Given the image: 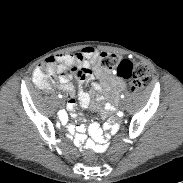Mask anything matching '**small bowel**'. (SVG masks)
Here are the masks:
<instances>
[{"instance_id": "c3829d8e", "label": "small bowel", "mask_w": 183, "mask_h": 183, "mask_svg": "<svg viewBox=\"0 0 183 183\" xmlns=\"http://www.w3.org/2000/svg\"><path fill=\"white\" fill-rule=\"evenodd\" d=\"M98 60V51L93 47H85L77 54H58L51 56L44 64L50 66L53 72L58 73L60 82L59 88L71 96V99L66 106L71 115L66 110H60L57 113V118L64 127H67L66 133L69 136H74L76 134V144L82 145L86 140L85 121L81 120L77 127L71 125L73 118L76 117L75 111L78 108L85 109L92 107L102 110L104 113L114 112L112 114V119H110L108 123H102L99 128L96 124H91L89 126V131L94 140L87 141L88 147L92 148L95 152L106 153L110 149V144L106 140H110L117 131V126L114 124V121L120 122L123 119V114L120 111H116L114 102L118 93L125 89L126 84L124 81L102 72ZM72 67H75L77 71L82 69L84 73L78 75L77 71L70 73L65 72ZM73 73L77 78V89L70 83ZM95 75L99 77L100 82L94 81ZM87 82H91L92 89L95 93L101 92L102 90L109 91L110 102L104 106V109L100 107L101 97L93 96L83 90V85ZM76 93L78 100L75 99Z\"/></svg>"}]
</instances>
